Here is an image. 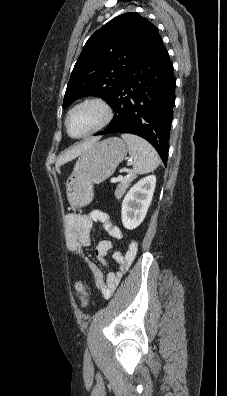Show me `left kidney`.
<instances>
[{"instance_id":"5707ae66","label":"left kidney","mask_w":227,"mask_h":396,"mask_svg":"<svg viewBox=\"0 0 227 396\" xmlns=\"http://www.w3.org/2000/svg\"><path fill=\"white\" fill-rule=\"evenodd\" d=\"M155 185L156 176H146L134 184L124 197L121 219L126 229L133 230L143 222L152 201Z\"/></svg>"}]
</instances>
